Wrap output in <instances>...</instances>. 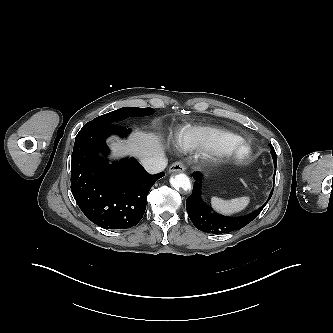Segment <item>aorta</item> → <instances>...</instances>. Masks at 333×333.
<instances>
[{
    "label": "aorta",
    "instance_id": "762f6f07",
    "mask_svg": "<svg viewBox=\"0 0 333 333\" xmlns=\"http://www.w3.org/2000/svg\"><path fill=\"white\" fill-rule=\"evenodd\" d=\"M170 184L176 190L182 189L184 191H187L191 188L190 179L188 178L187 175L183 173L171 177Z\"/></svg>",
    "mask_w": 333,
    "mask_h": 333
}]
</instances>
